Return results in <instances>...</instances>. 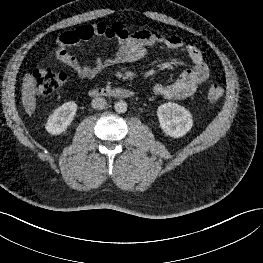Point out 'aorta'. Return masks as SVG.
I'll return each mask as SVG.
<instances>
[{"label": "aorta", "mask_w": 263, "mask_h": 263, "mask_svg": "<svg viewBox=\"0 0 263 263\" xmlns=\"http://www.w3.org/2000/svg\"><path fill=\"white\" fill-rule=\"evenodd\" d=\"M114 109L117 113H125L127 111V103L125 101H117L114 104Z\"/></svg>", "instance_id": "762f6f07"}]
</instances>
